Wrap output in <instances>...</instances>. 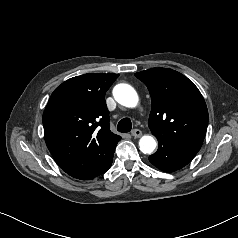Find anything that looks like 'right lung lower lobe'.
Instances as JSON below:
<instances>
[{
  "mask_svg": "<svg viewBox=\"0 0 238 238\" xmlns=\"http://www.w3.org/2000/svg\"><path fill=\"white\" fill-rule=\"evenodd\" d=\"M112 160H113V156L106 161L104 168H103V172H106L110 168V166L112 164Z\"/></svg>",
  "mask_w": 238,
  "mask_h": 238,
  "instance_id": "obj_1",
  "label": "right lung lower lobe"
}]
</instances>
